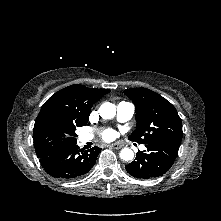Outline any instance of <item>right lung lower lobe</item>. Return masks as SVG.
Here are the masks:
<instances>
[{
  "label": "right lung lower lobe",
  "instance_id": "98d812e1",
  "mask_svg": "<svg viewBox=\"0 0 221 221\" xmlns=\"http://www.w3.org/2000/svg\"><path fill=\"white\" fill-rule=\"evenodd\" d=\"M101 148L80 149L76 143L37 154L44 170L51 176L72 180L90 171Z\"/></svg>",
  "mask_w": 221,
  "mask_h": 221
}]
</instances>
